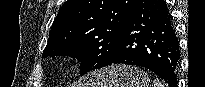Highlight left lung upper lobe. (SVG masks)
Listing matches in <instances>:
<instances>
[{
	"instance_id": "obj_1",
	"label": "left lung upper lobe",
	"mask_w": 205,
	"mask_h": 87,
	"mask_svg": "<svg viewBox=\"0 0 205 87\" xmlns=\"http://www.w3.org/2000/svg\"><path fill=\"white\" fill-rule=\"evenodd\" d=\"M136 1L68 0L52 24L42 57H76L81 75L103 67L114 55Z\"/></svg>"
}]
</instances>
